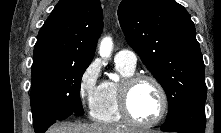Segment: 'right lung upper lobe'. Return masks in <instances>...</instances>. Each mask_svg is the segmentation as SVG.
I'll return each mask as SVG.
<instances>
[{"label":"right lung upper lobe","mask_w":221,"mask_h":133,"mask_svg":"<svg viewBox=\"0 0 221 133\" xmlns=\"http://www.w3.org/2000/svg\"><path fill=\"white\" fill-rule=\"evenodd\" d=\"M102 29L99 0H60L39 31L32 73L91 62Z\"/></svg>","instance_id":"right-lung-upper-lobe-1"}]
</instances>
